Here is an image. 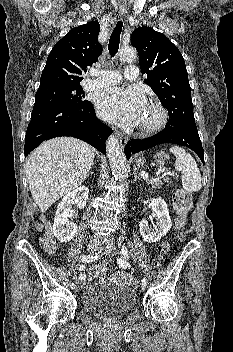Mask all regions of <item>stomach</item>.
I'll list each match as a JSON object with an SVG mask.
<instances>
[{
  "mask_svg": "<svg viewBox=\"0 0 233 352\" xmlns=\"http://www.w3.org/2000/svg\"><path fill=\"white\" fill-rule=\"evenodd\" d=\"M136 164H137L138 166L143 165V164H144V159H143V157H138V158L136 159Z\"/></svg>",
  "mask_w": 233,
  "mask_h": 352,
  "instance_id": "1",
  "label": "stomach"
}]
</instances>
